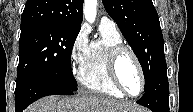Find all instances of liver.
<instances>
[{"mask_svg": "<svg viewBox=\"0 0 193 112\" xmlns=\"http://www.w3.org/2000/svg\"><path fill=\"white\" fill-rule=\"evenodd\" d=\"M136 104L83 95L76 97L48 96L39 99L28 107L25 112H142Z\"/></svg>", "mask_w": 193, "mask_h": 112, "instance_id": "obj_1", "label": "liver"}]
</instances>
